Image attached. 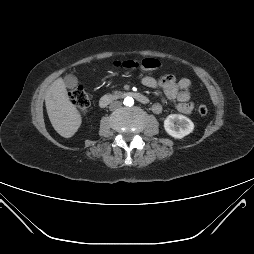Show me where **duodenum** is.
I'll use <instances>...</instances> for the list:
<instances>
[{
	"label": "duodenum",
	"mask_w": 254,
	"mask_h": 254,
	"mask_svg": "<svg viewBox=\"0 0 254 254\" xmlns=\"http://www.w3.org/2000/svg\"><path fill=\"white\" fill-rule=\"evenodd\" d=\"M133 97L137 101H139L142 104H147L149 102V99L142 93L140 92H134V91H127V92H120V93H109L103 95L100 100H99V105L100 107L104 108L108 106L111 102L124 98V97Z\"/></svg>",
	"instance_id": "410a0bca"
}]
</instances>
